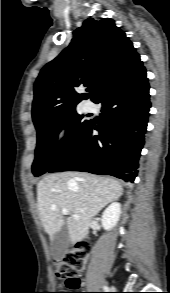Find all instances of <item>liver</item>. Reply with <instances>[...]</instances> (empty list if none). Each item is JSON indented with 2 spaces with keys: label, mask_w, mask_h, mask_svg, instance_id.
<instances>
[{
  "label": "liver",
  "mask_w": 170,
  "mask_h": 293,
  "mask_svg": "<svg viewBox=\"0 0 170 293\" xmlns=\"http://www.w3.org/2000/svg\"><path fill=\"white\" fill-rule=\"evenodd\" d=\"M122 194V185L113 178L84 172L54 173L38 182L37 207L50 238L53 239L66 223L70 241L74 244L87 236L92 219ZM63 208L71 215L66 220Z\"/></svg>",
  "instance_id": "obj_1"
}]
</instances>
